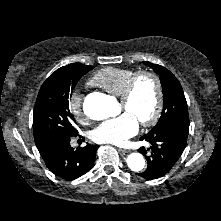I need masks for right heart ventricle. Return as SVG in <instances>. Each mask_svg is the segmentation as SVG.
<instances>
[{
  "mask_svg": "<svg viewBox=\"0 0 221 221\" xmlns=\"http://www.w3.org/2000/svg\"><path fill=\"white\" fill-rule=\"evenodd\" d=\"M134 73L133 70L127 68L106 67L96 72L90 79L89 84L119 96L127 80Z\"/></svg>",
  "mask_w": 221,
  "mask_h": 221,
  "instance_id": "right-heart-ventricle-1",
  "label": "right heart ventricle"
}]
</instances>
